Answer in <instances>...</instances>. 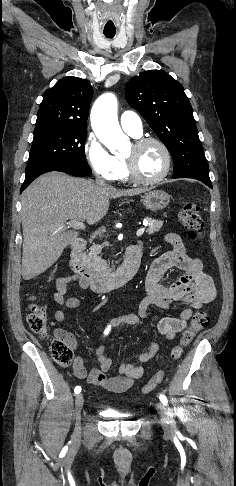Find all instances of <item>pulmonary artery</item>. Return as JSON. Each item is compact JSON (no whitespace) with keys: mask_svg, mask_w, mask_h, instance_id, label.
I'll list each match as a JSON object with an SVG mask.
<instances>
[{"mask_svg":"<svg viewBox=\"0 0 236 486\" xmlns=\"http://www.w3.org/2000/svg\"><path fill=\"white\" fill-rule=\"evenodd\" d=\"M122 129L133 137H140L143 132L142 121L133 111H124L120 116Z\"/></svg>","mask_w":236,"mask_h":486,"instance_id":"obj_1","label":"pulmonary artery"}]
</instances>
